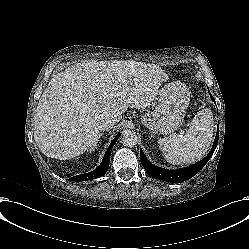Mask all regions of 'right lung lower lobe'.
I'll return each instance as SVG.
<instances>
[{
    "label": "right lung lower lobe",
    "mask_w": 249,
    "mask_h": 249,
    "mask_svg": "<svg viewBox=\"0 0 249 249\" xmlns=\"http://www.w3.org/2000/svg\"><path fill=\"white\" fill-rule=\"evenodd\" d=\"M120 133L117 134L115 136V138L112 140V142L110 143L102 163L100 164V166H98L95 170H93L92 172L86 173V174H82V175H78L73 177V179L75 181H87V180H92V179H96V178H100L102 177L108 170L109 167V162H110V155H111V149L112 147L115 145L117 139L119 138Z\"/></svg>",
    "instance_id": "obj_1"
}]
</instances>
